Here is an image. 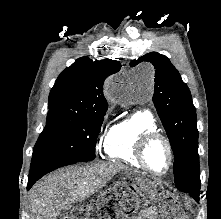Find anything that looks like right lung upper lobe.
Instances as JSON below:
<instances>
[{
  "label": "right lung upper lobe",
  "mask_w": 221,
  "mask_h": 219,
  "mask_svg": "<svg viewBox=\"0 0 221 219\" xmlns=\"http://www.w3.org/2000/svg\"><path fill=\"white\" fill-rule=\"evenodd\" d=\"M116 60L92 61L82 57L66 68L57 78L49 95V108H65L79 112L107 110L103 82L119 71Z\"/></svg>",
  "instance_id": "cb5924a9"
}]
</instances>
